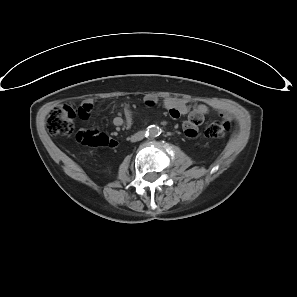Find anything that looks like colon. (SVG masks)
<instances>
[{"label":"colon","mask_w":297,"mask_h":297,"mask_svg":"<svg viewBox=\"0 0 297 297\" xmlns=\"http://www.w3.org/2000/svg\"><path fill=\"white\" fill-rule=\"evenodd\" d=\"M91 106L83 104L80 107H76L71 104L61 105L57 107L48 117L47 128L48 131L53 134L69 135L73 131V120L76 116L81 118H87ZM201 121L197 120L199 124ZM230 122L226 119L216 121L212 123L206 130L208 137H223L230 130ZM77 139L84 145L93 147H114L116 142L104 133L95 132H80L77 135Z\"/></svg>","instance_id":"1"}]
</instances>
